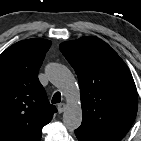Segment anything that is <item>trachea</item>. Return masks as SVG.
<instances>
[{
    "instance_id": "trachea-1",
    "label": "trachea",
    "mask_w": 141,
    "mask_h": 141,
    "mask_svg": "<svg viewBox=\"0 0 141 141\" xmlns=\"http://www.w3.org/2000/svg\"><path fill=\"white\" fill-rule=\"evenodd\" d=\"M61 101V94L60 92H56L54 95H53V98H52V103H59Z\"/></svg>"
}]
</instances>
